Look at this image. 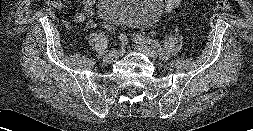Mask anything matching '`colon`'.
Here are the masks:
<instances>
[{
	"label": "colon",
	"instance_id": "5ec220e1",
	"mask_svg": "<svg viewBox=\"0 0 253 131\" xmlns=\"http://www.w3.org/2000/svg\"><path fill=\"white\" fill-rule=\"evenodd\" d=\"M183 2L184 0H164L166 10L168 11L176 10ZM213 8L215 10L228 12L231 10V5L228 0H216ZM103 26L108 33H115V28L112 24L104 23Z\"/></svg>",
	"mask_w": 253,
	"mask_h": 131
}]
</instances>
